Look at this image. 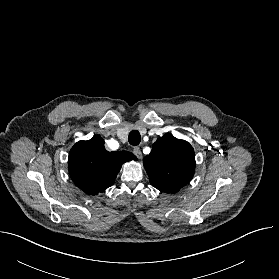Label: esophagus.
<instances>
[{
	"instance_id": "34e87169",
	"label": "esophagus",
	"mask_w": 279,
	"mask_h": 279,
	"mask_svg": "<svg viewBox=\"0 0 279 279\" xmlns=\"http://www.w3.org/2000/svg\"><path fill=\"white\" fill-rule=\"evenodd\" d=\"M133 153L136 155L138 159H142V151L139 147H134Z\"/></svg>"
}]
</instances>
